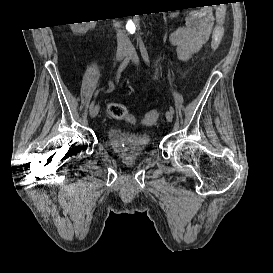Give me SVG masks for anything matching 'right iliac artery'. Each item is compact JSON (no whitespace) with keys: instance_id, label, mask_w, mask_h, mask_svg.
Masks as SVG:
<instances>
[{"instance_id":"1","label":"right iliac artery","mask_w":273,"mask_h":273,"mask_svg":"<svg viewBox=\"0 0 273 273\" xmlns=\"http://www.w3.org/2000/svg\"><path fill=\"white\" fill-rule=\"evenodd\" d=\"M132 55L129 54L125 59L124 61L120 64L118 70H117V78L120 77V74L122 73V71L127 67V65L129 64L130 62V59H131ZM94 103H95V100L92 101V103L90 104V107H89V110H91L93 107H94Z\"/></svg>"}]
</instances>
